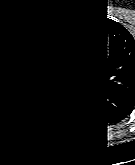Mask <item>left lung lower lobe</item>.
Returning <instances> with one entry per match:
<instances>
[{
    "instance_id": "obj_1",
    "label": "left lung lower lobe",
    "mask_w": 135,
    "mask_h": 165,
    "mask_svg": "<svg viewBox=\"0 0 135 165\" xmlns=\"http://www.w3.org/2000/svg\"><path fill=\"white\" fill-rule=\"evenodd\" d=\"M134 106L135 103L130 102L123 94L110 89H104V93L98 99L88 94L77 105L80 115L86 121L99 126L121 122L131 113Z\"/></svg>"
}]
</instances>
